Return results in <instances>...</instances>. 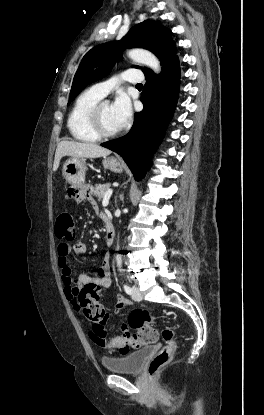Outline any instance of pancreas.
Segmentation results:
<instances>
[{
    "label": "pancreas",
    "instance_id": "obj_1",
    "mask_svg": "<svg viewBox=\"0 0 264 415\" xmlns=\"http://www.w3.org/2000/svg\"><path fill=\"white\" fill-rule=\"evenodd\" d=\"M109 185L107 184H96L91 188V194L95 195L98 200H102L105 196V193L108 191Z\"/></svg>",
    "mask_w": 264,
    "mask_h": 415
}]
</instances>
